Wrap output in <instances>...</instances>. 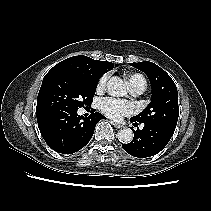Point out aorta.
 Returning a JSON list of instances; mask_svg holds the SVG:
<instances>
[{"mask_svg":"<svg viewBox=\"0 0 211 211\" xmlns=\"http://www.w3.org/2000/svg\"><path fill=\"white\" fill-rule=\"evenodd\" d=\"M107 91L111 96L114 97H122L127 94V88L124 84L123 80L117 76H113L107 83ZM133 132L129 128L121 129L118 134L117 138L121 143L128 144L133 139Z\"/></svg>","mask_w":211,"mask_h":211,"instance_id":"762f6f07","label":"aorta"}]
</instances>
